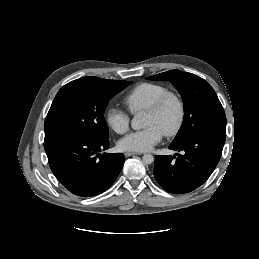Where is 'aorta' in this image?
Instances as JSON below:
<instances>
[{"label": "aorta", "instance_id": "obj_1", "mask_svg": "<svg viewBox=\"0 0 259 259\" xmlns=\"http://www.w3.org/2000/svg\"><path fill=\"white\" fill-rule=\"evenodd\" d=\"M131 127L134 130H140L145 127V114L143 112L135 114L131 121ZM142 161L144 164H151L154 161V157L151 154H144L142 156Z\"/></svg>", "mask_w": 259, "mask_h": 259}]
</instances>
